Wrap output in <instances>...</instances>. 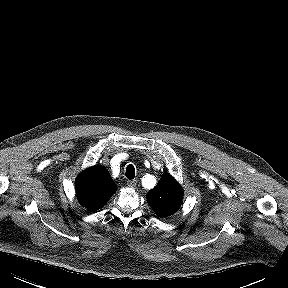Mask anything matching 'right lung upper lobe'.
I'll use <instances>...</instances> for the list:
<instances>
[{
  "label": "right lung upper lobe",
  "mask_w": 288,
  "mask_h": 288,
  "mask_svg": "<svg viewBox=\"0 0 288 288\" xmlns=\"http://www.w3.org/2000/svg\"><path fill=\"white\" fill-rule=\"evenodd\" d=\"M117 187L103 166H93L83 171L76 180L77 199L89 211L103 207Z\"/></svg>",
  "instance_id": "right-lung-upper-lobe-1"
}]
</instances>
